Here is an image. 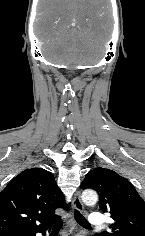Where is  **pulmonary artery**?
Listing matches in <instances>:
<instances>
[{
  "instance_id": "pulmonary-artery-1",
  "label": "pulmonary artery",
  "mask_w": 145,
  "mask_h": 236,
  "mask_svg": "<svg viewBox=\"0 0 145 236\" xmlns=\"http://www.w3.org/2000/svg\"><path fill=\"white\" fill-rule=\"evenodd\" d=\"M89 224L94 228L101 227L105 224V218L100 213L91 214L89 216Z\"/></svg>"
}]
</instances>
